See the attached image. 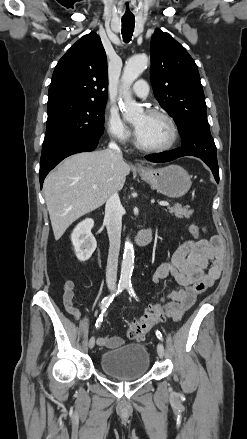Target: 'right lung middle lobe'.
<instances>
[{
	"label": "right lung middle lobe",
	"mask_w": 247,
	"mask_h": 439,
	"mask_svg": "<svg viewBox=\"0 0 247 439\" xmlns=\"http://www.w3.org/2000/svg\"><path fill=\"white\" fill-rule=\"evenodd\" d=\"M106 102L65 100L48 105L42 151L83 140L99 139L104 131Z\"/></svg>",
	"instance_id": "dd1d6c3e"
}]
</instances>
